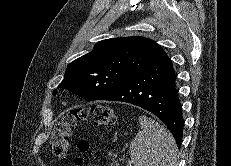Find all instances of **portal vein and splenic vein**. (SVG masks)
<instances>
[{
    "label": "portal vein and splenic vein",
    "mask_w": 231,
    "mask_h": 166,
    "mask_svg": "<svg viewBox=\"0 0 231 166\" xmlns=\"http://www.w3.org/2000/svg\"><path fill=\"white\" fill-rule=\"evenodd\" d=\"M130 165H131V162L129 161L127 166H130Z\"/></svg>",
    "instance_id": "portal-vein-and-splenic-vein-1"
}]
</instances>
